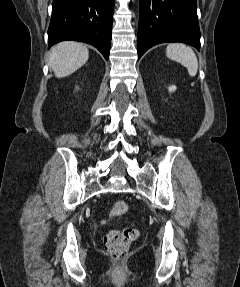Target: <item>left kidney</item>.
Masks as SVG:
<instances>
[{
	"label": "left kidney",
	"instance_id": "1",
	"mask_svg": "<svg viewBox=\"0 0 240 287\" xmlns=\"http://www.w3.org/2000/svg\"><path fill=\"white\" fill-rule=\"evenodd\" d=\"M176 90V86H170L169 87V92H174Z\"/></svg>",
	"mask_w": 240,
	"mask_h": 287
}]
</instances>
